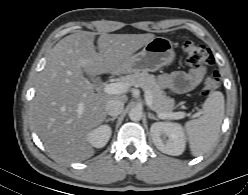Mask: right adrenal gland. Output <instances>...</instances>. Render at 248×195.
<instances>
[{"instance_id":"2a0ac1e0","label":"right adrenal gland","mask_w":248,"mask_h":195,"mask_svg":"<svg viewBox=\"0 0 248 195\" xmlns=\"http://www.w3.org/2000/svg\"><path fill=\"white\" fill-rule=\"evenodd\" d=\"M116 118H117L116 116H114V117H112V118H107V119L105 120V122L108 123L109 121H114Z\"/></svg>"}]
</instances>
